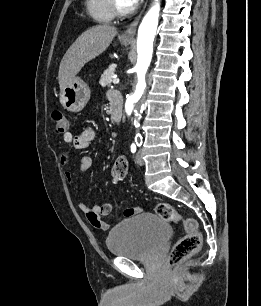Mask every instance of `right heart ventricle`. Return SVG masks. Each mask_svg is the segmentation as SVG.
Instances as JSON below:
<instances>
[{"label":"right heart ventricle","instance_id":"right-heart-ventricle-1","mask_svg":"<svg viewBox=\"0 0 261 306\" xmlns=\"http://www.w3.org/2000/svg\"><path fill=\"white\" fill-rule=\"evenodd\" d=\"M86 9L96 21L108 23L115 17L110 6V0H86Z\"/></svg>","mask_w":261,"mask_h":306}]
</instances>
